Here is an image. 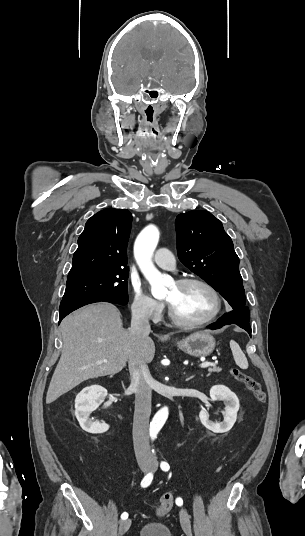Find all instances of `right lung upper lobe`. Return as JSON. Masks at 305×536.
Here are the masks:
<instances>
[{
	"label": "right lung upper lobe",
	"mask_w": 305,
	"mask_h": 536,
	"mask_svg": "<svg viewBox=\"0 0 305 536\" xmlns=\"http://www.w3.org/2000/svg\"><path fill=\"white\" fill-rule=\"evenodd\" d=\"M132 215L126 209L107 208L92 216L78 238L68 278L92 272L129 270L127 242Z\"/></svg>",
	"instance_id": "obj_1"
}]
</instances>
